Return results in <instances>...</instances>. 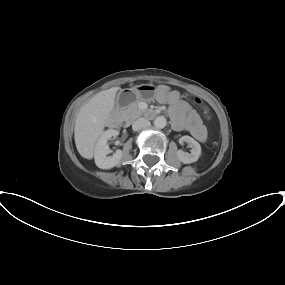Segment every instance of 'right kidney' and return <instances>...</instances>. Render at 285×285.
Masks as SVG:
<instances>
[{
    "label": "right kidney",
    "instance_id": "1",
    "mask_svg": "<svg viewBox=\"0 0 285 285\" xmlns=\"http://www.w3.org/2000/svg\"><path fill=\"white\" fill-rule=\"evenodd\" d=\"M118 134V130L109 129L106 130L98 139L94 150V159L97 167L101 169H111L121 163L123 156V152L121 150H117L113 156L107 157V155L111 152L107 141L111 137L118 136Z\"/></svg>",
    "mask_w": 285,
    "mask_h": 285
}]
</instances>
